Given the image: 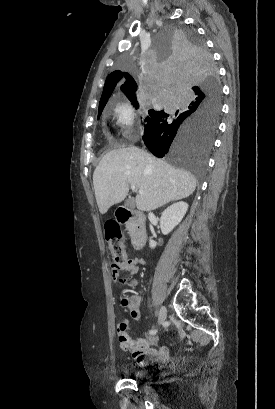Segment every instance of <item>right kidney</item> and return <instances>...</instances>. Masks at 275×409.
<instances>
[{
	"label": "right kidney",
	"instance_id": "obj_1",
	"mask_svg": "<svg viewBox=\"0 0 275 409\" xmlns=\"http://www.w3.org/2000/svg\"><path fill=\"white\" fill-rule=\"evenodd\" d=\"M187 211H188L187 202H183V200H179V202H174V205H170L168 209H165L160 219V229L163 235H168V233H171L172 229H174V227H177V225L181 223ZM149 245L151 249H155L157 243L156 241H152V239H150Z\"/></svg>",
	"mask_w": 275,
	"mask_h": 409
}]
</instances>
